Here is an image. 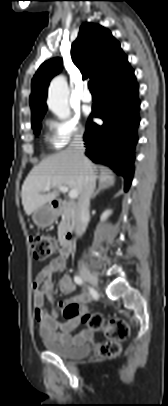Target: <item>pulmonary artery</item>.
Returning a JSON list of instances; mask_svg holds the SVG:
<instances>
[{
	"label": "pulmonary artery",
	"mask_w": 168,
	"mask_h": 406,
	"mask_svg": "<svg viewBox=\"0 0 168 406\" xmlns=\"http://www.w3.org/2000/svg\"><path fill=\"white\" fill-rule=\"evenodd\" d=\"M92 95L89 92V90L87 89V87H84L82 93H81V100L85 103H90L92 102Z\"/></svg>",
	"instance_id": "1"
}]
</instances>
